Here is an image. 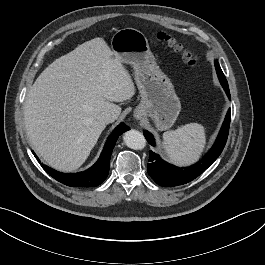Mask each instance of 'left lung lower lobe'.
<instances>
[{"instance_id": "left-lung-lower-lobe-1", "label": "left lung lower lobe", "mask_w": 265, "mask_h": 265, "mask_svg": "<svg viewBox=\"0 0 265 265\" xmlns=\"http://www.w3.org/2000/svg\"><path fill=\"white\" fill-rule=\"evenodd\" d=\"M215 69L228 98H230L229 87L226 85L222 70L217 62H215ZM230 118L231 111L229 110L213 147L199 163L189 168H178L163 161L159 155L150 151L149 163L147 164L148 174L160 186L182 185L198 177L218 158L223 151L228 138ZM144 136L149 144L154 146V138L148 131H144Z\"/></svg>"}]
</instances>
